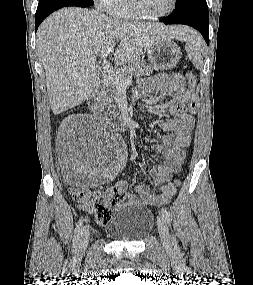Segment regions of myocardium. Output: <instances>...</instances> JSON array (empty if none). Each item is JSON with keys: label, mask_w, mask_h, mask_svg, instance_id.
I'll return each mask as SVG.
<instances>
[{"label": "myocardium", "mask_w": 253, "mask_h": 285, "mask_svg": "<svg viewBox=\"0 0 253 285\" xmlns=\"http://www.w3.org/2000/svg\"><path fill=\"white\" fill-rule=\"evenodd\" d=\"M131 2V7L136 14V16L140 19H145V20H158L161 18H164L168 15H170L177 6V0H172L171 7L164 13L158 14V15H150L145 12H143L141 6H140V1L139 0H130Z\"/></svg>", "instance_id": "myocardium-1"}]
</instances>
